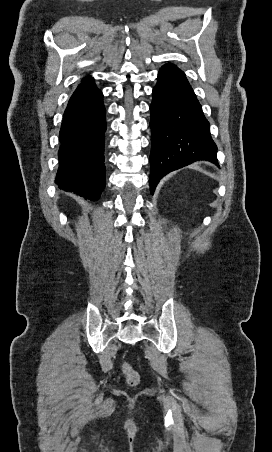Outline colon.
Instances as JSON below:
<instances>
[{"label": "colon", "instance_id": "colon-1", "mask_svg": "<svg viewBox=\"0 0 272 452\" xmlns=\"http://www.w3.org/2000/svg\"><path fill=\"white\" fill-rule=\"evenodd\" d=\"M121 370L131 385H135L138 382L139 380L138 373L133 369V367L129 363L126 362L123 363L121 365Z\"/></svg>", "mask_w": 272, "mask_h": 452}]
</instances>
